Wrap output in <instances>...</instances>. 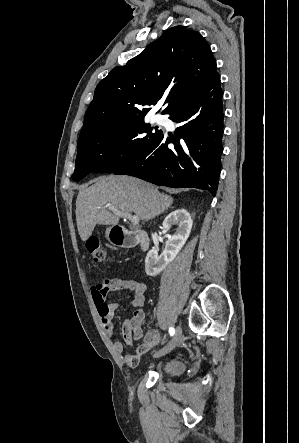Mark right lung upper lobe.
I'll use <instances>...</instances> for the list:
<instances>
[{
  "label": "right lung upper lobe",
  "mask_w": 299,
  "mask_h": 443,
  "mask_svg": "<svg viewBox=\"0 0 299 443\" xmlns=\"http://www.w3.org/2000/svg\"><path fill=\"white\" fill-rule=\"evenodd\" d=\"M206 40L184 26L166 30L143 52L100 81L80 137L103 126L144 117L162 97L167 114L217 75Z\"/></svg>",
  "instance_id": "right-lung-upper-lobe-1"
}]
</instances>
